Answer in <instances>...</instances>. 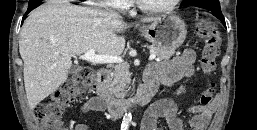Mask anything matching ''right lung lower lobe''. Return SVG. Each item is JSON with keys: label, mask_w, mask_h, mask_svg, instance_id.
<instances>
[{"label": "right lung lower lobe", "mask_w": 257, "mask_h": 130, "mask_svg": "<svg viewBox=\"0 0 257 130\" xmlns=\"http://www.w3.org/2000/svg\"><path fill=\"white\" fill-rule=\"evenodd\" d=\"M36 3H37L36 6H33V5H29V6H28V10H27L26 14H28L31 10H33L34 8H36V7H38V6L40 5V2L36 1L35 4H36ZM26 14L24 15V17H23L22 20H25Z\"/></svg>", "instance_id": "98d812e1"}]
</instances>
